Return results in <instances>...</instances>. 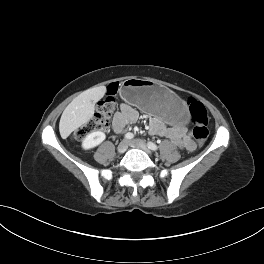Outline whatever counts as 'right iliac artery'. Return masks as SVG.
Returning a JSON list of instances; mask_svg holds the SVG:
<instances>
[{
	"instance_id": "82829eb1",
	"label": "right iliac artery",
	"mask_w": 264,
	"mask_h": 264,
	"mask_svg": "<svg viewBox=\"0 0 264 264\" xmlns=\"http://www.w3.org/2000/svg\"><path fill=\"white\" fill-rule=\"evenodd\" d=\"M133 137H134V135L130 132L125 134V139H127V140H131V139H133Z\"/></svg>"
}]
</instances>
